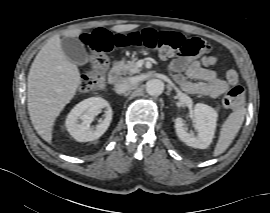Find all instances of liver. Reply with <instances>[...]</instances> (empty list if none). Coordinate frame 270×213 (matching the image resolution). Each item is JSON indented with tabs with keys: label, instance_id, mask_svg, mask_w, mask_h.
<instances>
[{
	"label": "liver",
	"instance_id": "6515ba94",
	"mask_svg": "<svg viewBox=\"0 0 270 213\" xmlns=\"http://www.w3.org/2000/svg\"><path fill=\"white\" fill-rule=\"evenodd\" d=\"M136 24L116 25V33L131 31ZM82 30L62 33L78 37ZM61 35L51 37L36 55L27 84V104L31 122L40 137L52 142L53 125L64 107L73 99L80 85L78 67L70 62L61 47Z\"/></svg>",
	"mask_w": 270,
	"mask_h": 213
}]
</instances>
